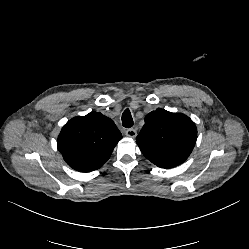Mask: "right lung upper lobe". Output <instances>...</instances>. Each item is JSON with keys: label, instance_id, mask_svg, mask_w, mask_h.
Returning <instances> with one entry per match:
<instances>
[{"label": "right lung upper lobe", "instance_id": "obj_1", "mask_svg": "<svg viewBox=\"0 0 249 249\" xmlns=\"http://www.w3.org/2000/svg\"><path fill=\"white\" fill-rule=\"evenodd\" d=\"M122 138L115 123L101 113L91 112L69 120L57 140L66 163L80 172L99 169Z\"/></svg>", "mask_w": 249, "mask_h": 249}]
</instances>
